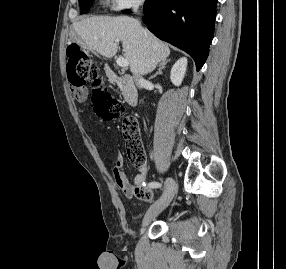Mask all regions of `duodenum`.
Wrapping results in <instances>:
<instances>
[{
  "instance_id": "410a0bca",
  "label": "duodenum",
  "mask_w": 286,
  "mask_h": 269,
  "mask_svg": "<svg viewBox=\"0 0 286 269\" xmlns=\"http://www.w3.org/2000/svg\"><path fill=\"white\" fill-rule=\"evenodd\" d=\"M107 74L119 84L125 102L130 107H135L138 103V91L132 78L128 75L117 76L111 68L107 69Z\"/></svg>"
}]
</instances>
